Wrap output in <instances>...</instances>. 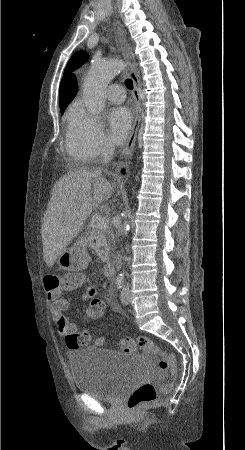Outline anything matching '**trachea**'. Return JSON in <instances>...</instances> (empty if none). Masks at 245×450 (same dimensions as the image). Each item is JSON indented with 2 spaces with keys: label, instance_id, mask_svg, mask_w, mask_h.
<instances>
[{
  "label": "trachea",
  "instance_id": "1",
  "mask_svg": "<svg viewBox=\"0 0 245 450\" xmlns=\"http://www.w3.org/2000/svg\"><path fill=\"white\" fill-rule=\"evenodd\" d=\"M126 86L128 87V89L132 90L133 89V81L131 79H127Z\"/></svg>",
  "mask_w": 245,
  "mask_h": 450
}]
</instances>
